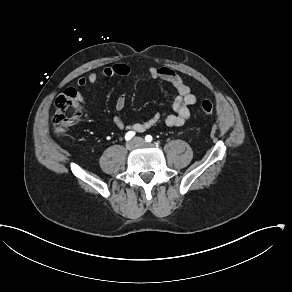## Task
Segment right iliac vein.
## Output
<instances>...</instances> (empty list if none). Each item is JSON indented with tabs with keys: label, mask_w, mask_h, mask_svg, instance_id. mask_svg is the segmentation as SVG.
Wrapping results in <instances>:
<instances>
[{
	"label": "right iliac vein",
	"mask_w": 292,
	"mask_h": 292,
	"mask_svg": "<svg viewBox=\"0 0 292 292\" xmlns=\"http://www.w3.org/2000/svg\"><path fill=\"white\" fill-rule=\"evenodd\" d=\"M136 141L133 139L131 141H128L126 143V149L127 150H132L135 147Z\"/></svg>",
	"instance_id": "1"
}]
</instances>
